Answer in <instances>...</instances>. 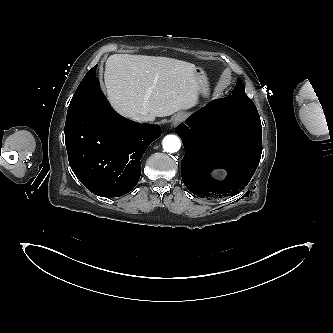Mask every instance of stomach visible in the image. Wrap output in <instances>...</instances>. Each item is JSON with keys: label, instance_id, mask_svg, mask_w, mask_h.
Masks as SVG:
<instances>
[{"label": "stomach", "instance_id": "stomach-1", "mask_svg": "<svg viewBox=\"0 0 333 333\" xmlns=\"http://www.w3.org/2000/svg\"><path fill=\"white\" fill-rule=\"evenodd\" d=\"M196 73L199 76L201 85L203 87L202 93L206 96L208 94L207 84H206V76L204 71L201 68L196 69Z\"/></svg>", "mask_w": 333, "mask_h": 333}]
</instances>
